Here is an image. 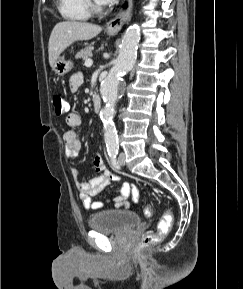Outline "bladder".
Returning <instances> with one entry per match:
<instances>
[{"instance_id": "obj_1", "label": "bladder", "mask_w": 243, "mask_h": 289, "mask_svg": "<svg viewBox=\"0 0 243 289\" xmlns=\"http://www.w3.org/2000/svg\"><path fill=\"white\" fill-rule=\"evenodd\" d=\"M88 223L94 230L121 234L140 225L141 218L132 211L110 209L92 214Z\"/></svg>"}]
</instances>
